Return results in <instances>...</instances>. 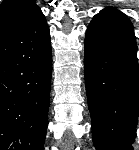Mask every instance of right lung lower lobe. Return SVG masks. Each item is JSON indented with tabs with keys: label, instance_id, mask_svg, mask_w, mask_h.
<instances>
[{
	"label": "right lung lower lobe",
	"instance_id": "98d812e1",
	"mask_svg": "<svg viewBox=\"0 0 139 150\" xmlns=\"http://www.w3.org/2000/svg\"><path fill=\"white\" fill-rule=\"evenodd\" d=\"M52 50L38 10L0 32V150H42L48 125Z\"/></svg>",
	"mask_w": 139,
	"mask_h": 150
}]
</instances>
